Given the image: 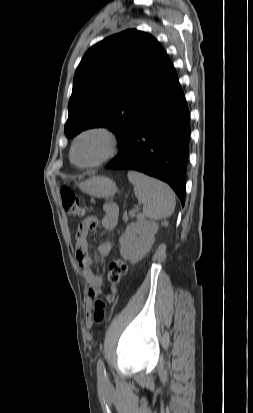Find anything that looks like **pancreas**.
<instances>
[{"mask_svg":"<svg viewBox=\"0 0 253 413\" xmlns=\"http://www.w3.org/2000/svg\"><path fill=\"white\" fill-rule=\"evenodd\" d=\"M130 215L133 216L132 212H130ZM123 220H124L125 222H127V221H128V217H127V216H124V217H123Z\"/></svg>","mask_w":253,"mask_h":413,"instance_id":"1","label":"pancreas"}]
</instances>
